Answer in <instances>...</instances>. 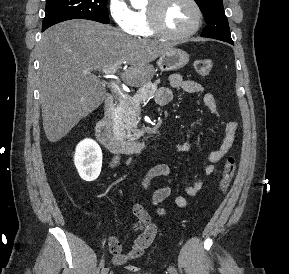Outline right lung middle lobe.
I'll list each match as a JSON object with an SVG mask.
<instances>
[{"instance_id":"1","label":"right lung middle lobe","mask_w":289,"mask_h":274,"mask_svg":"<svg viewBox=\"0 0 289 274\" xmlns=\"http://www.w3.org/2000/svg\"><path fill=\"white\" fill-rule=\"evenodd\" d=\"M108 0H47L42 30L70 19H88L108 24Z\"/></svg>"}]
</instances>
